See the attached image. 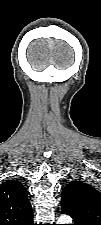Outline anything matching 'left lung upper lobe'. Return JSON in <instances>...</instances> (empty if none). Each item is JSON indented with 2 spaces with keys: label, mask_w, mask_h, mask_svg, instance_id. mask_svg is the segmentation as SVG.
Here are the masks:
<instances>
[{
  "label": "left lung upper lobe",
  "mask_w": 101,
  "mask_h": 225,
  "mask_svg": "<svg viewBox=\"0 0 101 225\" xmlns=\"http://www.w3.org/2000/svg\"><path fill=\"white\" fill-rule=\"evenodd\" d=\"M61 208L74 220L80 219L101 225V195L92 186L70 182L62 191Z\"/></svg>",
  "instance_id": "5c2ea615"
}]
</instances>
